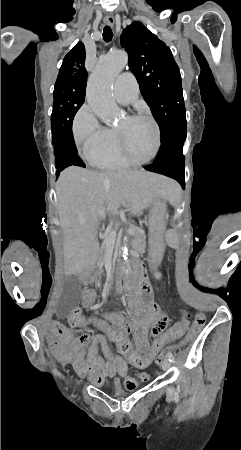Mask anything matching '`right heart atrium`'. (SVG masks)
<instances>
[{
  "label": "right heart atrium",
  "mask_w": 241,
  "mask_h": 450,
  "mask_svg": "<svg viewBox=\"0 0 241 450\" xmlns=\"http://www.w3.org/2000/svg\"><path fill=\"white\" fill-rule=\"evenodd\" d=\"M111 137V133L98 126L95 116L89 107L84 105L73 120V137L79 155H97L102 150L103 137Z\"/></svg>",
  "instance_id": "right-heart-atrium-1"
}]
</instances>
